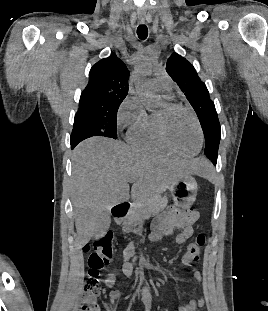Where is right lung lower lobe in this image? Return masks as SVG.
I'll list each match as a JSON object with an SVG mask.
<instances>
[{
  "label": "right lung lower lobe",
  "instance_id": "98d812e1",
  "mask_svg": "<svg viewBox=\"0 0 268 311\" xmlns=\"http://www.w3.org/2000/svg\"><path fill=\"white\" fill-rule=\"evenodd\" d=\"M82 140H84V139L81 138V139H77V140H71V147H72V149H73L79 142H81Z\"/></svg>",
  "mask_w": 268,
  "mask_h": 311
}]
</instances>
